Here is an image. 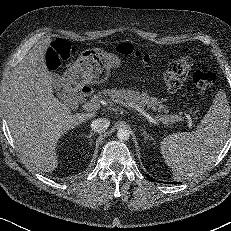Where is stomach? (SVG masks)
<instances>
[{
  "label": "stomach",
  "instance_id": "0dacf381",
  "mask_svg": "<svg viewBox=\"0 0 231 231\" xmlns=\"http://www.w3.org/2000/svg\"><path fill=\"white\" fill-rule=\"evenodd\" d=\"M121 65V59L114 54L98 49L85 50L64 73L63 82L67 88L101 83L108 77L110 69Z\"/></svg>",
  "mask_w": 231,
  "mask_h": 231
}]
</instances>
